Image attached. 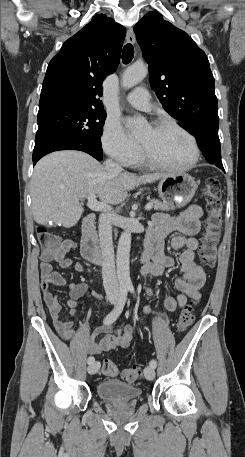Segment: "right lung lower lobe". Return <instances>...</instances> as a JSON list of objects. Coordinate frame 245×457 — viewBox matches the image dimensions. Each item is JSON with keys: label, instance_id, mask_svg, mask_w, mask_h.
I'll use <instances>...</instances> for the list:
<instances>
[{"label": "right lung lower lobe", "instance_id": "1", "mask_svg": "<svg viewBox=\"0 0 245 457\" xmlns=\"http://www.w3.org/2000/svg\"><path fill=\"white\" fill-rule=\"evenodd\" d=\"M59 150H80L86 153L87 150L80 144L67 141H53L36 146L33 151V165L48 153Z\"/></svg>", "mask_w": 245, "mask_h": 457}]
</instances>
